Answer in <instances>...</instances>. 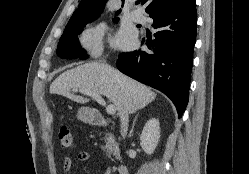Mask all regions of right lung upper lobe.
<instances>
[{"mask_svg": "<svg viewBox=\"0 0 249 174\" xmlns=\"http://www.w3.org/2000/svg\"><path fill=\"white\" fill-rule=\"evenodd\" d=\"M108 0H81L78 9L75 10L68 24L77 23L81 21L95 20L103 11L104 6ZM141 4L148 3L146 12L151 13L175 4L183 3L189 0H140ZM124 0H122V6ZM120 12V10L118 11Z\"/></svg>", "mask_w": 249, "mask_h": 174, "instance_id": "cb5924a9", "label": "right lung upper lobe"}]
</instances>
